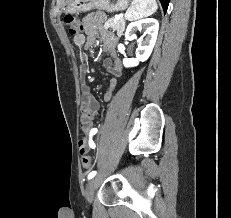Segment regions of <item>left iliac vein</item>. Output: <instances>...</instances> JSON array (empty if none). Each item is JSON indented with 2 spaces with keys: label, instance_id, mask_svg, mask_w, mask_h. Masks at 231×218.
<instances>
[{
  "label": "left iliac vein",
  "instance_id": "1",
  "mask_svg": "<svg viewBox=\"0 0 231 218\" xmlns=\"http://www.w3.org/2000/svg\"><path fill=\"white\" fill-rule=\"evenodd\" d=\"M96 187H97V179L92 178L88 182L87 187H86V191H85V198H86L87 202L90 204L93 202Z\"/></svg>",
  "mask_w": 231,
  "mask_h": 218
}]
</instances>
